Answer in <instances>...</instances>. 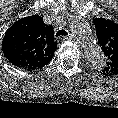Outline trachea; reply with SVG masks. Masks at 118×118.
Wrapping results in <instances>:
<instances>
[{
	"label": "trachea",
	"mask_w": 118,
	"mask_h": 118,
	"mask_svg": "<svg viewBox=\"0 0 118 118\" xmlns=\"http://www.w3.org/2000/svg\"><path fill=\"white\" fill-rule=\"evenodd\" d=\"M68 35L67 31L65 30H60L56 33V37H59V36H66Z\"/></svg>",
	"instance_id": "1"
}]
</instances>
